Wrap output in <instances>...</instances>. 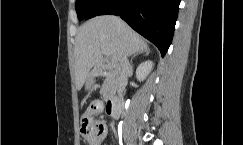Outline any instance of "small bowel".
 Wrapping results in <instances>:
<instances>
[{"instance_id": "obj_1", "label": "small bowel", "mask_w": 243, "mask_h": 145, "mask_svg": "<svg viewBox=\"0 0 243 145\" xmlns=\"http://www.w3.org/2000/svg\"><path fill=\"white\" fill-rule=\"evenodd\" d=\"M104 110V105L101 101H94L87 109L84 116H88L95 126L94 134L86 139L87 145H102L103 140L107 135V126L104 122L98 121L95 115Z\"/></svg>"}]
</instances>
